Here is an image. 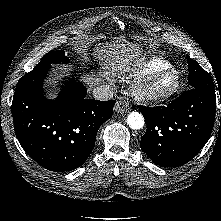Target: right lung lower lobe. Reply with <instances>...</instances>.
Masks as SVG:
<instances>
[{
	"label": "right lung lower lobe",
	"mask_w": 221,
	"mask_h": 221,
	"mask_svg": "<svg viewBox=\"0 0 221 221\" xmlns=\"http://www.w3.org/2000/svg\"><path fill=\"white\" fill-rule=\"evenodd\" d=\"M49 68L32 70L18 81L12 102L14 129L34 161L51 171H70L92 152L97 131L112 116L116 101L88 99L77 80L66 82L56 99H47L42 82Z\"/></svg>",
	"instance_id": "right-lung-lower-lobe-1"
}]
</instances>
